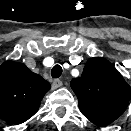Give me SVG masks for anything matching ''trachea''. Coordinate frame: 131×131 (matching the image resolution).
Returning <instances> with one entry per match:
<instances>
[{
  "label": "trachea",
  "instance_id": "trachea-1",
  "mask_svg": "<svg viewBox=\"0 0 131 131\" xmlns=\"http://www.w3.org/2000/svg\"><path fill=\"white\" fill-rule=\"evenodd\" d=\"M62 74V67L60 65H55L51 70V76L53 78H59Z\"/></svg>",
  "mask_w": 131,
  "mask_h": 131
}]
</instances>
